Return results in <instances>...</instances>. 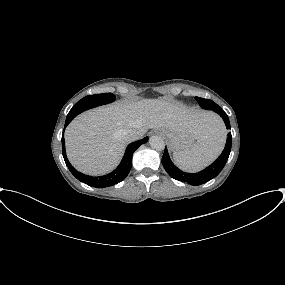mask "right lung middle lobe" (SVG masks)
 Returning a JSON list of instances; mask_svg holds the SVG:
<instances>
[{
    "label": "right lung middle lobe",
    "instance_id": "right-lung-middle-lobe-1",
    "mask_svg": "<svg viewBox=\"0 0 285 285\" xmlns=\"http://www.w3.org/2000/svg\"><path fill=\"white\" fill-rule=\"evenodd\" d=\"M115 100V96L112 93H103V94H95L88 95L78 101L70 110L67 115V119H73L75 116L80 114L81 112L88 110L90 108L107 104Z\"/></svg>",
    "mask_w": 285,
    "mask_h": 285
}]
</instances>
